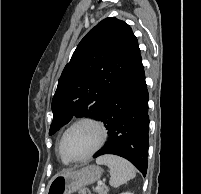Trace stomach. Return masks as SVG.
<instances>
[{"label": "stomach", "instance_id": "stomach-1", "mask_svg": "<svg viewBox=\"0 0 201 194\" xmlns=\"http://www.w3.org/2000/svg\"><path fill=\"white\" fill-rule=\"evenodd\" d=\"M101 175L102 169L95 165L56 175L48 186L47 194H72L99 180Z\"/></svg>", "mask_w": 201, "mask_h": 194}]
</instances>
